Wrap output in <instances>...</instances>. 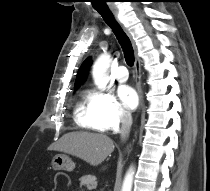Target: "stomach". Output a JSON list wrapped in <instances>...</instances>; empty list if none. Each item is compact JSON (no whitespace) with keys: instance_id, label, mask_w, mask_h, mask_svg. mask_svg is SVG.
Here are the masks:
<instances>
[{"instance_id":"1","label":"stomach","mask_w":210,"mask_h":191,"mask_svg":"<svg viewBox=\"0 0 210 191\" xmlns=\"http://www.w3.org/2000/svg\"><path fill=\"white\" fill-rule=\"evenodd\" d=\"M51 165L52 168L56 171H72L75 168V164L71 158L64 154L55 155L52 159Z\"/></svg>"}]
</instances>
